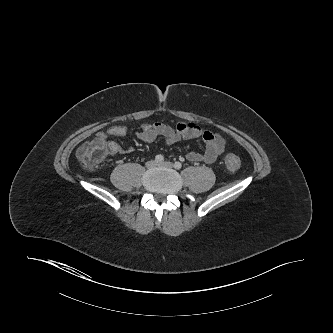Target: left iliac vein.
<instances>
[{
  "label": "left iliac vein",
  "mask_w": 333,
  "mask_h": 333,
  "mask_svg": "<svg viewBox=\"0 0 333 333\" xmlns=\"http://www.w3.org/2000/svg\"><path fill=\"white\" fill-rule=\"evenodd\" d=\"M157 165L161 166V167H167V168H172L173 167V164L171 162L158 163Z\"/></svg>",
  "instance_id": "1"
}]
</instances>
